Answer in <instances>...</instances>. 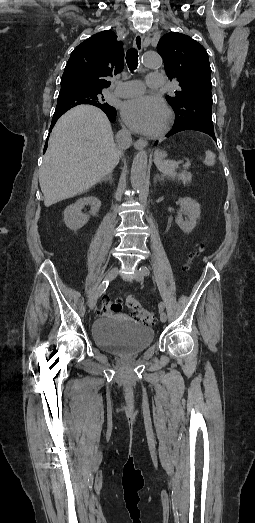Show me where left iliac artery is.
Wrapping results in <instances>:
<instances>
[{
  "label": "left iliac artery",
  "instance_id": "1",
  "mask_svg": "<svg viewBox=\"0 0 255 523\" xmlns=\"http://www.w3.org/2000/svg\"><path fill=\"white\" fill-rule=\"evenodd\" d=\"M140 270H141L142 273H143L144 275H146V276L149 275V273H150L148 267H146V266H142V267L140 268ZM158 307H159V310H164V307H165V306H164V303H163V302H160V303L158 304Z\"/></svg>",
  "mask_w": 255,
  "mask_h": 523
}]
</instances>
